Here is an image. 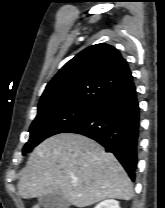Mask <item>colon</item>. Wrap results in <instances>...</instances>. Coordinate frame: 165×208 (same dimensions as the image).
<instances>
[{
  "label": "colon",
  "mask_w": 165,
  "mask_h": 208,
  "mask_svg": "<svg viewBox=\"0 0 165 208\" xmlns=\"http://www.w3.org/2000/svg\"><path fill=\"white\" fill-rule=\"evenodd\" d=\"M33 208H40L39 206H34Z\"/></svg>",
  "instance_id": "5ec220e1"
}]
</instances>
